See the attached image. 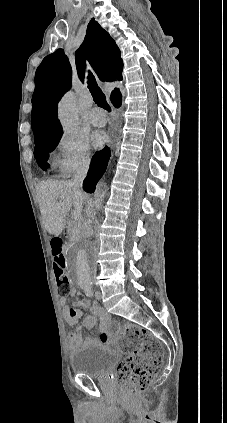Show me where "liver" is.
Masks as SVG:
<instances>
[{"instance_id":"1","label":"liver","mask_w":227,"mask_h":423,"mask_svg":"<svg viewBox=\"0 0 227 423\" xmlns=\"http://www.w3.org/2000/svg\"><path fill=\"white\" fill-rule=\"evenodd\" d=\"M38 202L45 229L51 235H60L67 227V211H82L88 196L85 192H78L67 182H41L36 186ZM88 229L89 225L85 221ZM68 231H71L68 227Z\"/></svg>"}]
</instances>
